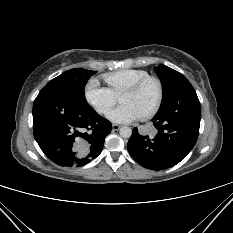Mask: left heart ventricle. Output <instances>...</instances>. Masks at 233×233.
Here are the masks:
<instances>
[{
	"instance_id": "b2bd125f",
	"label": "left heart ventricle",
	"mask_w": 233,
	"mask_h": 233,
	"mask_svg": "<svg viewBox=\"0 0 233 233\" xmlns=\"http://www.w3.org/2000/svg\"><path fill=\"white\" fill-rule=\"evenodd\" d=\"M158 97V86L154 81L148 82L138 92H124L120 96L122 104L133 105L141 116L146 114L155 104Z\"/></svg>"
}]
</instances>
